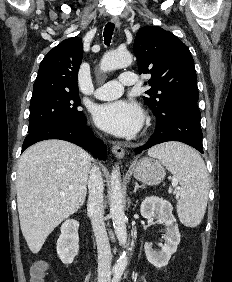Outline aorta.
Listing matches in <instances>:
<instances>
[{
	"instance_id": "1",
	"label": "aorta",
	"mask_w": 232,
	"mask_h": 282,
	"mask_svg": "<svg viewBox=\"0 0 232 282\" xmlns=\"http://www.w3.org/2000/svg\"><path fill=\"white\" fill-rule=\"evenodd\" d=\"M132 63V55L126 50H114L106 53L100 63V69L103 72L124 68ZM110 215L119 244H127L126 217L124 213V203L121 187L120 168L115 166L112 170L110 179ZM128 264V258L125 252L119 257L113 267V271L122 274Z\"/></svg>"
}]
</instances>
